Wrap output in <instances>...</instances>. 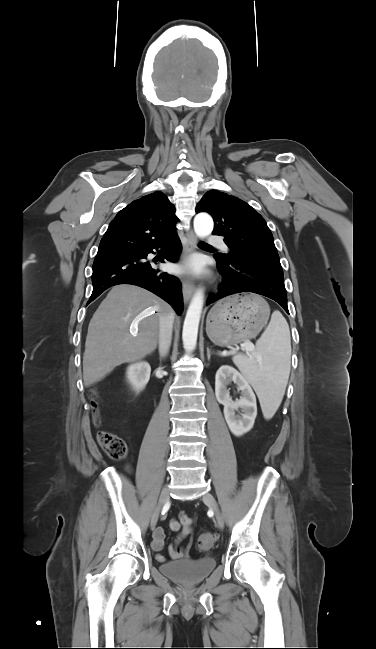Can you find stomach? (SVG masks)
Returning <instances> with one entry per match:
<instances>
[{"mask_svg": "<svg viewBox=\"0 0 376 649\" xmlns=\"http://www.w3.org/2000/svg\"><path fill=\"white\" fill-rule=\"evenodd\" d=\"M269 315V305L259 295H233L210 310L206 332L220 347L238 344L255 337L266 325Z\"/></svg>", "mask_w": 376, "mask_h": 649, "instance_id": "1", "label": "stomach"}]
</instances>
